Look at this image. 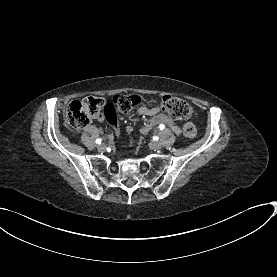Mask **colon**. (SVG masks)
<instances>
[{
  "instance_id": "colon-1",
  "label": "colon",
  "mask_w": 277,
  "mask_h": 277,
  "mask_svg": "<svg viewBox=\"0 0 277 277\" xmlns=\"http://www.w3.org/2000/svg\"><path fill=\"white\" fill-rule=\"evenodd\" d=\"M114 104L119 110L126 112L137 105L133 95L120 94L113 98ZM156 103L164 113L183 120L193 115L192 107L182 98L164 95L157 98ZM105 102L101 94H90L84 102L80 99H73L67 113V120L71 130L77 131L88 126L91 121L100 119ZM183 134L187 138L196 136V128L193 124L186 123L183 127Z\"/></svg>"
}]
</instances>
